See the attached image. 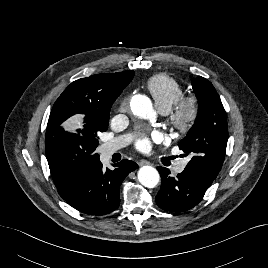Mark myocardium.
Returning <instances> with one entry per match:
<instances>
[{"instance_id": "1", "label": "myocardium", "mask_w": 268, "mask_h": 268, "mask_svg": "<svg viewBox=\"0 0 268 268\" xmlns=\"http://www.w3.org/2000/svg\"><path fill=\"white\" fill-rule=\"evenodd\" d=\"M200 112L199 100L194 95L182 96L168 111L170 124L178 131L188 132L196 120Z\"/></svg>"}]
</instances>
